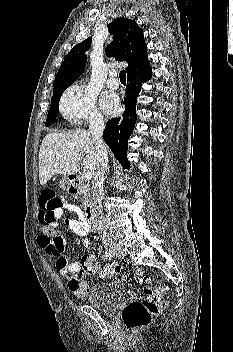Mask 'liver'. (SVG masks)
Returning a JSON list of instances; mask_svg holds the SVG:
<instances>
[{
  "label": "liver",
  "instance_id": "1",
  "mask_svg": "<svg viewBox=\"0 0 233 352\" xmlns=\"http://www.w3.org/2000/svg\"><path fill=\"white\" fill-rule=\"evenodd\" d=\"M80 162L85 172L95 173L97 149L89 131L49 133L39 151V179L45 185L57 174L74 175Z\"/></svg>",
  "mask_w": 233,
  "mask_h": 352
}]
</instances>
